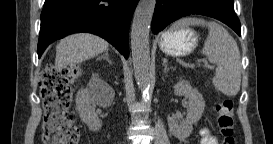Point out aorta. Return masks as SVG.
Here are the masks:
<instances>
[{
  "label": "aorta",
  "mask_w": 273,
  "mask_h": 144,
  "mask_svg": "<svg viewBox=\"0 0 273 144\" xmlns=\"http://www.w3.org/2000/svg\"><path fill=\"white\" fill-rule=\"evenodd\" d=\"M156 0H140L131 27V52L135 78L143 92V100L149 99L150 49L149 33Z\"/></svg>",
  "instance_id": "1"
}]
</instances>
